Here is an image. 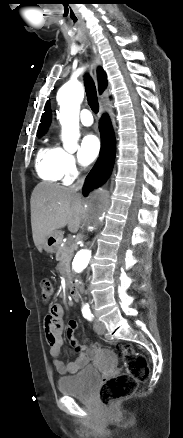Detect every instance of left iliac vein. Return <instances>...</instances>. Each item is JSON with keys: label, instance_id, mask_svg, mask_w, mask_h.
I'll list each match as a JSON object with an SVG mask.
<instances>
[{"label": "left iliac vein", "instance_id": "4c4485c4", "mask_svg": "<svg viewBox=\"0 0 183 438\" xmlns=\"http://www.w3.org/2000/svg\"><path fill=\"white\" fill-rule=\"evenodd\" d=\"M94 329H95V332L98 335H102L105 332L104 324L102 322L98 321V320H96L95 323H94Z\"/></svg>", "mask_w": 183, "mask_h": 438}]
</instances>
